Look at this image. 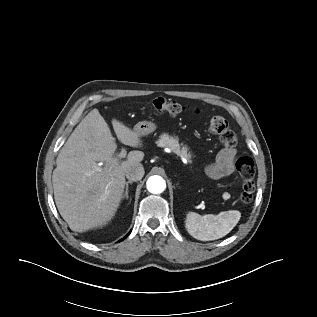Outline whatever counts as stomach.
<instances>
[{
  "label": "stomach",
  "instance_id": "obj_1",
  "mask_svg": "<svg viewBox=\"0 0 317 317\" xmlns=\"http://www.w3.org/2000/svg\"><path fill=\"white\" fill-rule=\"evenodd\" d=\"M156 128V124L152 121H141L135 125L134 131L138 132L140 136H145L154 132Z\"/></svg>",
  "mask_w": 317,
  "mask_h": 317
}]
</instances>
